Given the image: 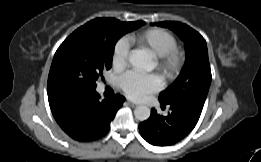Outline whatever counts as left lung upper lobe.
<instances>
[{"mask_svg":"<svg viewBox=\"0 0 261 162\" xmlns=\"http://www.w3.org/2000/svg\"><path fill=\"white\" fill-rule=\"evenodd\" d=\"M156 25L173 30L184 41L186 49V61L180 75L160 93L159 101L170 104L187 98L204 106L212 78L206 41L197 31L183 23L164 21Z\"/></svg>","mask_w":261,"mask_h":162,"instance_id":"obj_1","label":"left lung upper lobe"}]
</instances>
